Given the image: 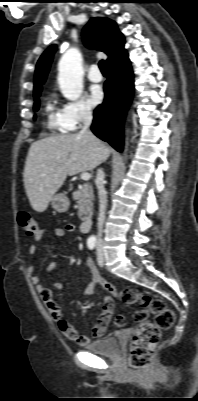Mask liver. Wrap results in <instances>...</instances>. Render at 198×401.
Returning <instances> with one entry per match:
<instances>
[{
  "label": "liver",
  "instance_id": "liver-1",
  "mask_svg": "<svg viewBox=\"0 0 198 401\" xmlns=\"http://www.w3.org/2000/svg\"><path fill=\"white\" fill-rule=\"evenodd\" d=\"M110 152L98 138L80 133L50 136L32 143L23 173L32 208L44 212L67 175L93 170Z\"/></svg>",
  "mask_w": 198,
  "mask_h": 401
}]
</instances>
